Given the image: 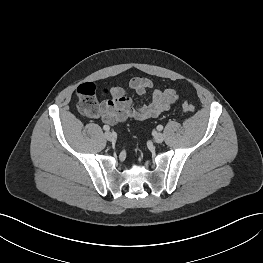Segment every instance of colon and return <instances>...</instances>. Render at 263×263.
<instances>
[{
    "label": "colon",
    "instance_id": "colon-1",
    "mask_svg": "<svg viewBox=\"0 0 263 263\" xmlns=\"http://www.w3.org/2000/svg\"><path fill=\"white\" fill-rule=\"evenodd\" d=\"M76 94L78 99V107L83 113L89 114L96 108L97 89L93 83L86 82L80 84L77 88ZM100 94H107V90L102 89ZM182 107L186 113H192L195 110L194 105L189 102H185Z\"/></svg>",
    "mask_w": 263,
    "mask_h": 263
}]
</instances>
